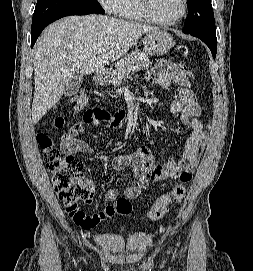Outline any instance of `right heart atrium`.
Listing matches in <instances>:
<instances>
[{"mask_svg": "<svg viewBox=\"0 0 253 271\" xmlns=\"http://www.w3.org/2000/svg\"><path fill=\"white\" fill-rule=\"evenodd\" d=\"M108 13L116 14L120 8L122 0H98Z\"/></svg>", "mask_w": 253, "mask_h": 271, "instance_id": "1", "label": "right heart atrium"}]
</instances>
